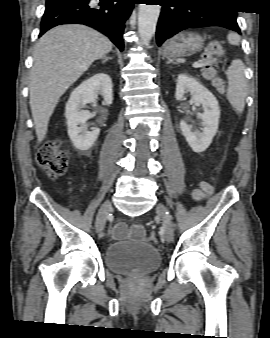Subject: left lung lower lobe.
<instances>
[{"instance_id": "0a47b994", "label": "left lung lower lobe", "mask_w": 270, "mask_h": 338, "mask_svg": "<svg viewBox=\"0 0 270 338\" xmlns=\"http://www.w3.org/2000/svg\"><path fill=\"white\" fill-rule=\"evenodd\" d=\"M162 11L156 30L157 44L178 32L198 26H220L240 33L237 11L225 0H158Z\"/></svg>"}]
</instances>
